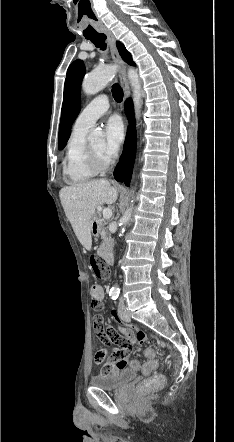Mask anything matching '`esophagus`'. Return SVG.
Segmentation results:
<instances>
[{"mask_svg":"<svg viewBox=\"0 0 234 442\" xmlns=\"http://www.w3.org/2000/svg\"><path fill=\"white\" fill-rule=\"evenodd\" d=\"M104 33L107 36V41L109 44L111 56H112L113 60L120 66L119 80H120V84H121L123 91H124V99L126 100L129 97V84H128V80H127L126 69H125L124 63L118 53V50L116 47V39H115L113 33L109 29H104ZM126 127H128L127 119H126Z\"/></svg>","mask_w":234,"mask_h":442,"instance_id":"obj_1","label":"esophagus"}]
</instances>
